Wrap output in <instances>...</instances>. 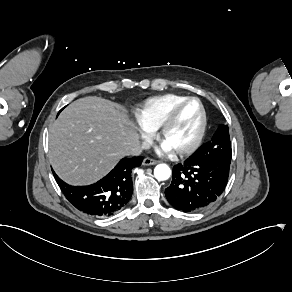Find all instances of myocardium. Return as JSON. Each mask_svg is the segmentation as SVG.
Here are the masks:
<instances>
[{"instance_id":"obj_1","label":"myocardium","mask_w":292,"mask_h":292,"mask_svg":"<svg viewBox=\"0 0 292 292\" xmlns=\"http://www.w3.org/2000/svg\"><path fill=\"white\" fill-rule=\"evenodd\" d=\"M190 102H196L199 106V121H198L197 128L195 130V133H194L193 137L191 138V140L186 145L181 146V147L170 146L166 142V139H165L167 131H168L169 127L171 126V124L177 118L180 111ZM205 125H206V112H205V108H204L202 102L198 98L187 97L184 100L175 104L168 111L167 115L165 116V118L163 119V121L159 127V135L161 136L162 140L169 147H171L173 150H175L177 153L187 154V153L194 151L197 148V146L199 145V143L202 139L204 130H205Z\"/></svg>"}]
</instances>
